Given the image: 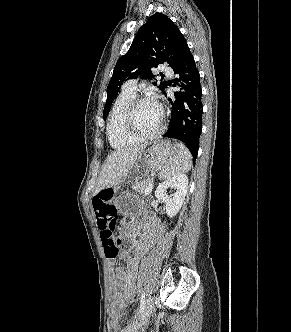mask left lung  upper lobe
<instances>
[{
	"label": "left lung upper lobe",
	"instance_id": "left-lung-upper-lobe-1",
	"mask_svg": "<svg viewBox=\"0 0 291 332\" xmlns=\"http://www.w3.org/2000/svg\"><path fill=\"white\" fill-rule=\"evenodd\" d=\"M186 46L183 34L168 16L161 13L150 16L138 30L129 51L115 65L107 87L104 120L124 81L138 76L152 78L151 68L164 62L173 68L181 59ZM153 84L157 86V83ZM166 86L167 82L163 81L158 88L164 92ZM196 147H199V142L194 144L193 149Z\"/></svg>",
	"mask_w": 291,
	"mask_h": 332
}]
</instances>
